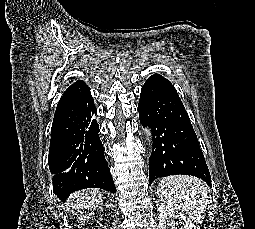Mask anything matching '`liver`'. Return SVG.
<instances>
[{"instance_id": "1", "label": "liver", "mask_w": 255, "mask_h": 229, "mask_svg": "<svg viewBox=\"0 0 255 229\" xmlns=\"http://www.w3.org/2000/svg\"><path fill=\"white\" fill-rule=\"evenodd\" d=\"M103 192L100 189H86L71 195L69 204L72 208L92 209L102 202Z\"/></svg>"}]
</instances>
